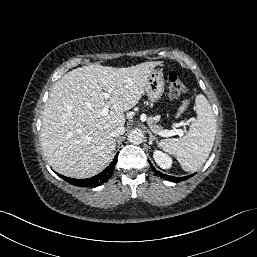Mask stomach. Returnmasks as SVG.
I'll return each mask as SVG.
<instances>
[{"instance_id": "obj_1", "label": "stomach", "mask_w": 257, "mask_h": 257, "mask_svg": "<svg viewBox=\"0 0 257 257\" xmlns=\"http://www.w3.org/2000/svg\"><path fill=\"white\" fill-rule=\"evenodd\" d=\"M164 85L165 82L162 71L157 69L153 70L149 75L145 87L147 96L152 103L157 102L161 98L164 92Z\"/></svg>"}]
</instances>
